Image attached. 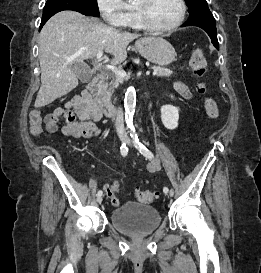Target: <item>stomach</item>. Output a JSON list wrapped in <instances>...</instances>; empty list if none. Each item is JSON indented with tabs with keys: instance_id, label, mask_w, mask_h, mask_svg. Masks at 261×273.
<instances>
[{
	"instance_id": "1",
	"label": "stomach",
	"mask_w": 261,
	"mask_h": 273,
	"mask_svg": "<svg viewBox=\"0 0 261 273\" xmlns=\"http://www.w3.org/2000/svg\"><path fill=\"white\" fill-rule=\"evenodd\" d=\"M135 46L144 58L160 66L169 65L176 57L174 47L161 37L141 38Z\"/></svg>"
}]
</instances>
